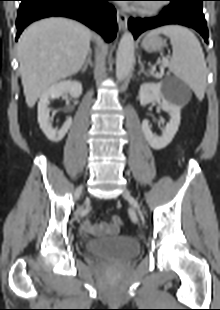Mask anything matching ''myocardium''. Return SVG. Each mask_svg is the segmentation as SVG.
<instances>
[{"label": "myocardium", "instance_id": "f54148a6", "mask_svg": "<svg viewBox=\"0 0 220 310\" xmlns=\"http://www.w3.org/2000/svg\"><path fill=\"white\" fill-rule=\"evenodd\" d=\"M158 11H160V5L158 4H147L139 8V12L146 14H153Z\"/></svg>", "mask_w": 220, "mask_h": 310}]
</instances>
